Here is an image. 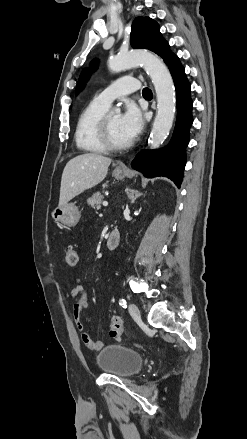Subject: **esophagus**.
Segmentation results:
<instances>
[{
  "instance_id": "1",
  "label": "esophagus",
  "mask_w": 247,
  "mask_h": 439,
  "mask_svg": "<svg viewBox=\"0 0 247 439\" xmlns=\"http://www.w3.org/2000/svg\"><path fill=\"white\" fill-rule=\"evenodd\" d=\"M117 168L118 169H127V166H126L125 163L121 162V163L118 164Z\"/></svg>"
}]
</instances>
